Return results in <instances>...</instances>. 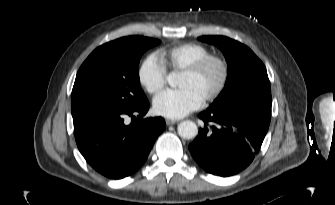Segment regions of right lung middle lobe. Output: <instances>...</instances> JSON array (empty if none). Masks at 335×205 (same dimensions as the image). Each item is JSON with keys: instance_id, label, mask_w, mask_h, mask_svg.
Segmentation results:
<instances>
[{"instance_id": "right-lung-middle-lobe-1", "label": "right lung middle lobe", "mask_w": 335, "mask_h": 205, "mask_svg": "<svg viewBox=\"0 0 335 205\" xmlns=\"http://www.w3.org/2000/svg\"><path fill=\"white\" fill-rule=\"evenodd\" d=\"M159 40L129 36L96 48L81 65L71 95L72 116L133 109L147 100L140 88L138 64Z\"/></svg>"}]
</instances>
